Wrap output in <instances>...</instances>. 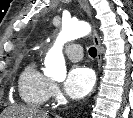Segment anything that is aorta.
<instances>
[{
  "label": "aorta",
  "instance_id": "aorta-1",
  "mask_svg": "<svg viewBox=\"0 0 133 118\" xmlns=\"http://www.w3.org/2000/svg\"><path fill=\"white\" fill-rule=\"evenodd\" d=\"M91 31V27L86 22L63 23L62 29L56 39L54 46L49 50L45 58V74L55 80L66 78V65L62 53L63 45L69 41L84 37Z\"/></svg>",
  "mask_w": 133,
  "mask_h": 118
}]
</instances>
